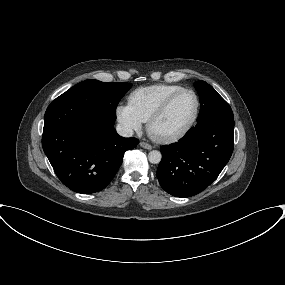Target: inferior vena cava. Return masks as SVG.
<instances>
[{
    "label": "inferior vena cava",
    "instance_id": "obj_1",
    "mask_svg": "<svg viewBox=\"0 0 285 285\" xmlns=\"http://www.w3.org/2000/svg\"><path fill=\"white\" fill-rule=\"evenodd\" d=\"M117 133L122 137H132L133 136V130L125 125L118 124L116 127Z\"/></svg>",
    "mask_w": 285,
    "mask_h": 285
}]
</instances>
